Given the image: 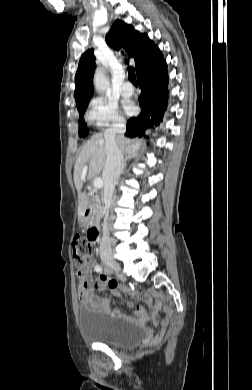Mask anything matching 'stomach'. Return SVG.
Here are the masks:
<instances>
[{
	"mask_svg": "<svg viewBox=\"0 0 252 390\" xmlns=\"http://www.w3.org/2000/svg\"><path fill=\"white\" fill-rule=\"evenodd\" d=\"M84 222H85L84 219H82V220H81V223L83 224Z\"/></svg>",
	"mask_w": 252,
	"mask_h": 390,
	"instance_id": "1",
	"label": "stomach"
}]
</instances>
